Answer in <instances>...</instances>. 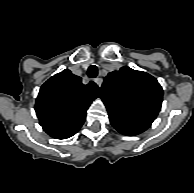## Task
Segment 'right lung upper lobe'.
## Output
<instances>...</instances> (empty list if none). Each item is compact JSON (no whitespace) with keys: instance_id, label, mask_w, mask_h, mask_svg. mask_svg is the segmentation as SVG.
<instances>
[{"instance_id":"right-lung-upper-lobe-1","label":"right lung upper lobe","mask_w":194,"mask_h":193,"mask_svg":"<svg viewBox=\"0 0 194 193\" xmlns=\"http://www.w3.org/2000/svg\"><path fill=\"white\" fill-rule=\"evenodd\" d=\"M99 96L94 82L83 85L80 77L65 69L40 88L35 104L39 123L51 137L69 138L80 129L88 107Z\"/></svg>"}]
</instances>
